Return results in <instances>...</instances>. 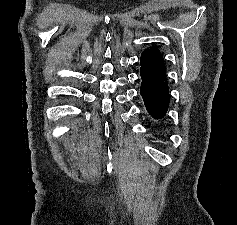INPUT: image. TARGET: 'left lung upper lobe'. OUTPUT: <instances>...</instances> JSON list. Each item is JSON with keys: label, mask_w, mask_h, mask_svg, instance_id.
I'll return each mask as SVG.
<instances>
[{"label": "left lung upper lobe", "mask_w": 237, "mask_h": 225, "mask_svg": "<svg viewBox=\"0 0 237 225\" xmlns=\"http://www.w3.org/2000/svg\"><path fill=\"white\" fill-rule=\"evenodd\" d=\"M140 62L142 77H148L158 81L165 80L163 58L158 49H146L141 55Z\"/></svg>", "instance_id": "5c2ea615"}]
</instances>
